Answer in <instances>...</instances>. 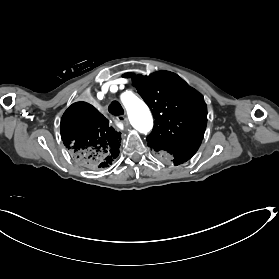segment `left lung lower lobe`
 <instances>
[{"mask_svg": "<svg viewBox=\"0 0 279 279\" xmlns=\"http://www.w3.org/2000/svg\"><path fill=\"white\" fill-rule=\"evenodd\" d=\"M194 154H188V153H173L169 154V157H172L174 165H179L187 160H189Z\"/></svg>", "mask_w": 279, "mask_h": 279, "instance_id": "left-lung-lower-lobe-1", "label": "left lung lower lobe"}]
</instances>
